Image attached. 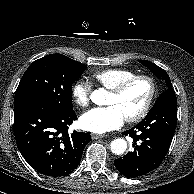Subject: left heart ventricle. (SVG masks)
<instances>
[{"mask_svg":"<svg viewBox=\"0 0 194 194\" xmlns=\"http://www.w3.org/2000/svg\"><path fill=\"white\" fill-rule=\"evenodd\" d=\"M149 85L143 80L132 83L121 95L109 93L106 104L116 106L125 118L137 114L145 105Z\"/></svg>","mask_w":194,"mask_h":194,"instance_id":"left-heart-ventricle-1","label":"left heart ventricle"}]
</instances>
